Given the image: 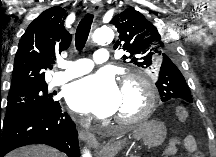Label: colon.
Segmentation results:
<instances>
[{
	"label": "colon",
	"mask_w": 216,
	"mask_h": 157,
	"mask_svg": "<svg viewBox=\"0 0 216 157\" xmlns=\"http://www.w3.org/2000/svg\"><path fill=\"white\" fill-rule=\"evenodd\" d=\"M175 115L179 122H185L189 117V112L184 107H178L175 111Z\"/></svg>",
	"instance_id": "1"
}]
</instances>
